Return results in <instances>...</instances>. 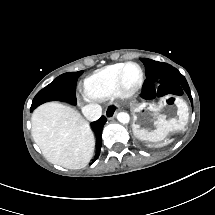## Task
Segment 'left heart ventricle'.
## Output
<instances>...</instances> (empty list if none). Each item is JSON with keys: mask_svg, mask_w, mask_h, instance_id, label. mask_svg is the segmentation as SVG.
I'll list each match as a JSON object with an SVG mask.
<instances>
[{"mask_svg": "<svg viewBox=\"0 0 215 215\" xmlns=\"http://www.w3.org/2000/svg\"><path fill=\"white\" fill-rule=\"evenodd\" d=\"M124 76L118 80V85L122 89H127L136 81L138 73L133 66H127L122 68Z\"/></svg>", "mask_w": 215, "mask_h": 215, "instance_id": "1", "label": "left heart ventricle"}]
</instances>
